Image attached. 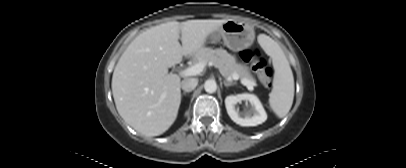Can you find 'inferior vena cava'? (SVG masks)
Returning <instances> with one entry per match:
<instances>
[{"mask_svg": "<svg viewBox=\"0 0 406 168\" xmlns=\"http://www.w3.org/2000/svg\"><path fill=\"white\" fill-rule=\"evenodd\" d=\"M198 80L196 78H187L181 82V87L184 92H191L196 88Z\"/></svg>", "mask_w": 406, "mask_h": 168, "instance_id": "obj_1", "label": "inferior vena cava"}]
</instances>
